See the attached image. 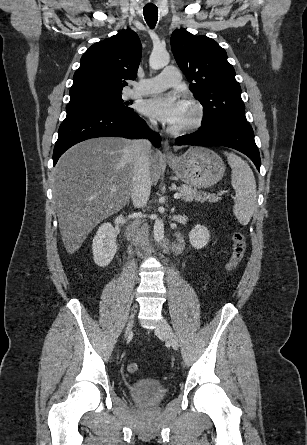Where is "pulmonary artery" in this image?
<instances>
[{"mask_svg":"<svg viewBox=\"0 0 307 445\" xmlns=\"http://www.w3.org/2000/svg\"><path fill=\"white\" fill-rule=\"evenodd\" d=\"M147 76V81L138 82V89L135 87L130 88V95L157 93L175 83L181 82V72L174 66H169L158 73H150Z\"/></svg>","mask_w":307,"mask_h":445,"instance_id":"1","label":"pulmonary artery"}]
</instances>
